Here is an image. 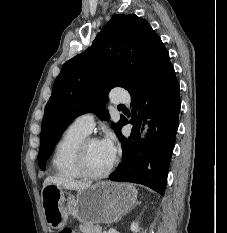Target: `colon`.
I'll list each match as a JSON object with an SVG mask.
<instances>
[{
	"label": "colon",
	"mask_w": 227,
	"mask_h": 233,
	"mask_svg": "<svg viewBox=\"0 0 227 233\" xmlns=\"http://www.w3.org/2000/svg\"><path fill=\"white\" fill-rule=\"evenodd\" d=\"M59 233H76L73 230L69 229V228H63L59 231Z\"/></svg>",
	"instance_id": "1"
}]
</instances>
